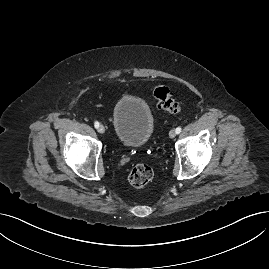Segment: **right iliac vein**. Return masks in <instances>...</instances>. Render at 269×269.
<instances>
[{"instance_id": "obj_1", "label": "right iliac vein", "mask_w": 269, "mask_h": 269, "mask_svg": "<svg viewBox=\"0 0 269 269\" xmlns=\"http://www.w3.org/2000/svg\"><path fill=\"white\" fill-rule=\"evenodd\" d=\"M97 131L103 134L105 132V127L103 125H99V127L97 128Z\"/></svg>"}]
</instances>
